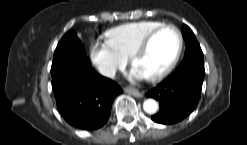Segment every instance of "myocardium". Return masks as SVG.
<instances>
[{
  "instance_id": "obj_1",
  "label": "myocardium",
  "mask_w": 247,
  "mask_h": 145,
  "mask_svg": "<svg viewBox=\"0 0 247 145\" xmlns=\"http://www.w3.org/2000/svg\"><path fill=\"white\" fill-rule=\"evenodd\" d=\"M164 29H173L178 37V47L176 50V53L173 57V59L170 61V63L164 67L162 70L158 71L157 73L147 77L149 80L151 81H156L159 80L163 77H165L166 75H168L177 65L180 56L182 54L183 51V46H184V39H183V35L182 32L180 31V29L173 25V24H162L158 27H156L155 29H153L152 31H150L142 40L141 42L134 48V50L131 52L130 56H129V61L130 63L134 66L136 59L139 57V55H141L142 53H144L150 43L152 42L153 38L162 30Z\"/></svg>"
}]
</instances>
